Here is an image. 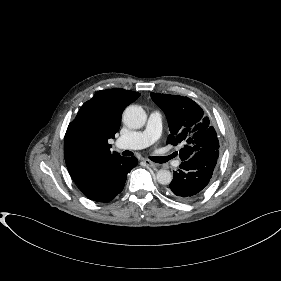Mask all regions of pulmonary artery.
Returning a JSON list of instances; mask_svg holds the SVG:
<instances>
[{"label": "pulmonary artery", "mask_w": 281, "mask_h": 281, "mask_svg": "<svg viewBox=\"0 0 281 281\" xmlns=\"http://www.w3.org/2000/svg\"><path fill=\"white\" fill-rule=\"evenodd\" d=\"M162 132V114L155 110L149 114L146 127L120 136L117 145L126 149H142L154 143Z\"/></svg>", "instance_id": "e3ab8cb5"}]
</instances>
